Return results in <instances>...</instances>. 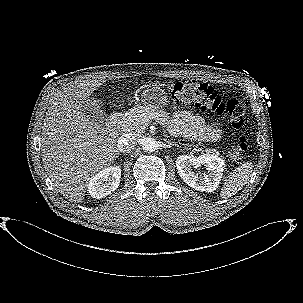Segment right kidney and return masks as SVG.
Returning <instances> with one entry per match:
<instances>
[{
	"instance_id": "ca27d5eb",
	"label": "right kidney",
	"mask_w": 303,
	"mask_h": 303,
	"mask_svg": "<svg viewBox=\"0 0 303 303\" xmlns=\"http://www.w3.org/2000/svg\"><path fill=\"white\" fill-rule=\"evenodd\" d=\"M121 178V169L119 166H110L102 169L91 177L88 183V192L91 197L100 199L115 191Z\"/></svg>"
}]
</instances>
